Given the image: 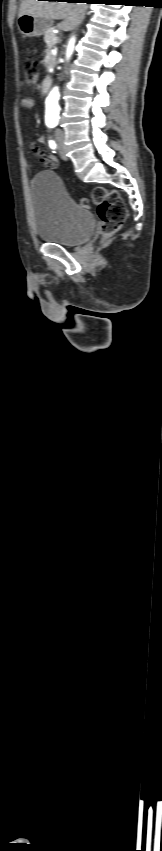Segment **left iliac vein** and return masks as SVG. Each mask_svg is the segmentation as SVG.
I'll use <instances>...</instances> for the list:
<instances>
[{
    "instance_id": "1",
    "label": "left iliac vein",
    "mask_w": 162,
    "mask_h": 851,
    "mask_svg": "<svg viewBox=\"0 0 162 851\" xmlns=\"http://www.w3.org/2000/svg\"><path fill=\"white\" fill-rule=\"evenodd\" d=\"M58 149H59V154H60L61 158L66 161L68 159V157H67L66 151H65V149H64V147L61 143H59Z\"/></svg>"
}]
</instances>
